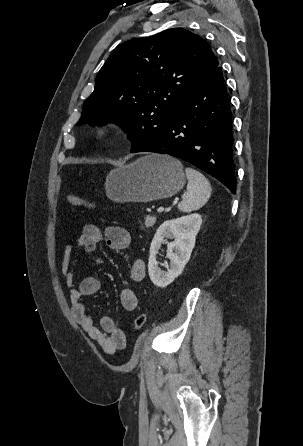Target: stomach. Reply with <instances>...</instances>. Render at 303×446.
Returning <instances> with one entry per match:
<instances>
[{
	"mask_svg": "<svg viewBox=\"0 0 303 446\" xmlns=\"http://www.w3.org/2000/svg\"><path fill=\"white\" fill-rule=\"evenodd\" d=\"M181 162L161 154H148L112 170L105 182L113 202H150L175 195L185 184Z\"/></svg>",
	"mask_w": 303,
	"mask_h": 446,
	"instance_id": "stomach-1",
	"label": "stomach"
}]
</instances>
